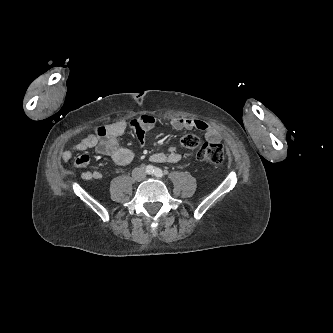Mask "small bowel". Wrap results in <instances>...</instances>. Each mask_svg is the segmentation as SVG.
I'll return each instance as SVG.
<instances>
[{"instance_id": "small-bowel-1", "label": "small bowel", "mask_w": 333, "mask_h": 333, "mask_svg": "<svg viewBox=\"0 0 333 333\" xmlns=\"http://www.w3.org/2000/svg\"><path fill=\"white\" fill-rule=\"evenodd\" d=\"M154 125L155 118L145 114L99 127L103 129V133L96 131L95 133L80 138L71 148L61 154V159L64 162H68L76 152H86L90 149H94L98 154L110 157L118 165H127L133 160L134 153L129 148L119 146L117 138L122 135L126 129H130L136 132L139 143L143 144L145 142V133L151 130ZM171 125L177 130L197 129L204 133L209 143H218L221 140L220 131L203 120L175 117L171 120ZM151 160L157 163H177L181 160V155L175 147H172L169 149L168 153L153 154ZM89 161L90 156L85 153L77 156L74 164L77 168H83L88 165ZM101 178L102 174L99 171H85L82 174V179L86 181L99 180Z\"/></svg>"}]
</instances>
